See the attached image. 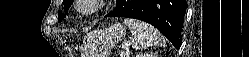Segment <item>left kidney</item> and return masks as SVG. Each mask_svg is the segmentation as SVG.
I'll use <instances>...</instances> for the list:
<instances>
[{
	"label": "left kidney",
	"instance_id": "1",
	"mask_svg": "<svg viewBox=\"0 0 249 57\" xmlns=\"http://www.w3.org/2000/svg\"><path fill=\"white\" fill-rule=\"evenodd\" d=\"M136 57H154V56L150 53H139L136 55Z\"/></svg>",
	"mask_w": 249,
	"mask_h": 57
}]
</instances>
